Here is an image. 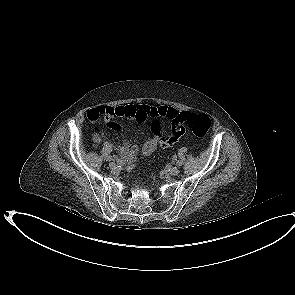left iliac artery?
I'll return each instance as SVG.
<instances>
[{
    "instance_id": "left-iliac-artery-1",
    "label": "left iliac artery",
    "mask_w": 295,
    "mask_h": 295,
    "mask_svg": "<svg viewBox=\"0 0 295 295\" xmlns=\"http://www.w3.org/2000/svg\"><path fill=\"white\" fill-rule=\"evenodd\" d=\"M181 164H182V162H180V161L177 162V165L178 166H181Z\"/></svg>"
}]
</instances>
